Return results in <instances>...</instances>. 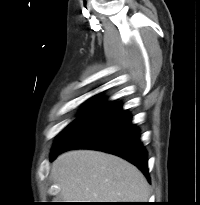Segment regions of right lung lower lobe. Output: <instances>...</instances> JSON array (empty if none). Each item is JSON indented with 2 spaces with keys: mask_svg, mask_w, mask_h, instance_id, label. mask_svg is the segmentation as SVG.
<instances>
[{
  "mask_svg": "<svg viewBox=\"0 0 200 205\" xmlns=\"http://www.w3.org/2000/svg\"><path fill=\"white\" fill-rule=\"evenodd\" d=\"M139 129L131 124L121 104L113 107L78 133L67 144L51 152L53 161L63 151L77 148L95 149L118 155L137 166L148 178L147 152L139 139Z\"/></svg>",
  "mask_w": 200,
  "mask_h": 205,
  "instance_id": "98d812e1",
  "label": "right lung lower lobe"
}]
</instances>
